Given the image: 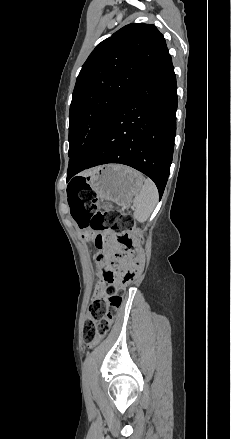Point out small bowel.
Here are the masks:
<instances>
[{
  "mask_svg": "<svg viewBox=\"0 0 231 439\" xmlns=\"http://www.w3.org/2000/svg\"><path fill=\"white\" fill-rule=\"evenodd\" d=\"M112 240H113V237L111 236V235H109V240H108V242H109V244L111 245V243H112ZM110 245H109V247H108V250L103 254V256H101V258H99V265H100V267L104 270L105 269V267H106V257H108L109 255H111V251H110ZM103 290H104V286H103V284L102 283H100L97 287H96V289H95V295H99V294H101L102 292H103Z\"/></svg>",
  "mask_w": 231,
  "mask_h": 439,
  "instance_id": "c3829d8e",
  "label": "small bowel"
}]
</instances>
